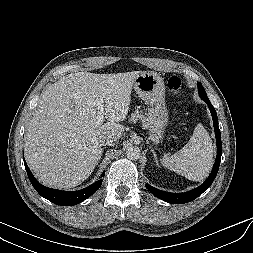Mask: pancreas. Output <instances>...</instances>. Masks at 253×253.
<instances>
[{"label": "pancreas", "instance_id": "1", "mask_svg": "<svg viewBox=\"0 0 253 253\" xmlns=\"http://www.w3.org/2000/svg\"><path fill=\"white\" fill-rule=\"evenodd\" d=\"M138 120L142 121V124L147 127V119L143 114H140L138 111L131 114L130 121L136 122Z\"/></svg>", "mask_w": 253, "mask_h": 253}]
</instances>
